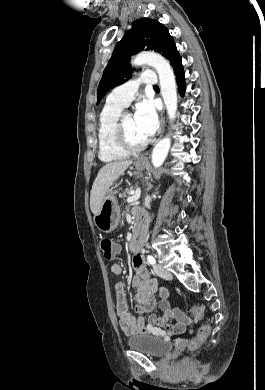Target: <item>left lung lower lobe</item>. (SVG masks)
Instances as JSON below:
<instances>
[{"mask_svg": "<svg viewBox=\"0 0 265 390\" xmlns=\"http://www.w3.org/2000/svg\"><path fill=\"white\" fill-rule=\"evenodd\" d=\"M171 66L174 69L176 75V81L178 84V90L181 96H183L185 91V79H184V70L182 66V59L178 54L171 63Z\"/></svg>", "mask_w": 265, "mask_h": 390, "instance_id": "left-lung-lower-lobe-1", "label": "left lung lower lobe"}]
</instances>
